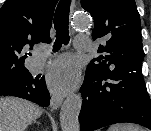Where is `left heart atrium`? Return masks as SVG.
<instances>
[{"mask_svg": "<svg viewBox=\"0 0 151 131\" xmlns=\"http://www.w3.org/2000/svg\"><path fill=\"white\" fill-rule=\"evenodd\" d=\"M47 80L50 89L55 94L62 95L77 84V66L70 58H61L51 67Z\"/></svg>", "mask_w": 151, "mask_h": 131, "instance_id": "39dd6f15", "label": "left heart atrium"}]
</instances>
